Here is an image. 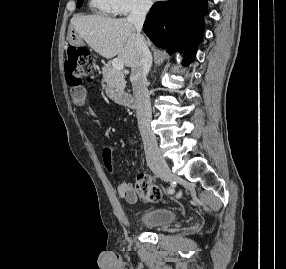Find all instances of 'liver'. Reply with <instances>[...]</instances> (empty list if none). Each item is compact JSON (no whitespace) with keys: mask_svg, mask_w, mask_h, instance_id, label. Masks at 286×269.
I'll use <instances>...</instances> for the list:
<instances>
[{"mask_svg":"<svg viewBox=\"0 0 286 269\" xmlns=\"http://www.w3.org/2000/svg\"><path fill=\"white\" fill-rule=\"evenodd\" d=\"M70 26L102 57L111 59L118 56L125 66L131 68L137 62V33L127 19L100 15L74 16Z\"/></svg>","mask_w":286,"mask_h":269,"instance_id":"6515ba94","label":"liver"}]
</instances>
